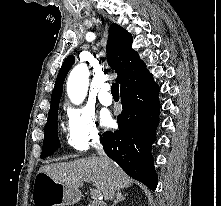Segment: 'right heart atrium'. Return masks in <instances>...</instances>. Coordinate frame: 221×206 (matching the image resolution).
Segmentation results:
<instances>
[{
  "instance_id": "obj_1",
  "label": "right heart atrium",
  "mask_w": 221,
  "mask_h": 206,
  "mask_svg": "<svg viewBox=\"0 0 221 206\" xmlns=\"http://www.w3.org/2000/svg\"><path fill=\"white\" fill-rule=\"evenodd\" d=\"M67 142L76 151H85L100 140L93 113L82 107L66 108Z\"/></svg>"
}]
</instances>
